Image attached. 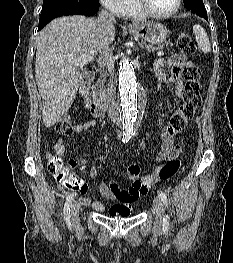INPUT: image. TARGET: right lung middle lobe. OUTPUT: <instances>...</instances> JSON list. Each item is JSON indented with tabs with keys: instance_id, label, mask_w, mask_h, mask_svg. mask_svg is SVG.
<instances>
[{
	"instance_id": "obj_1",
	"label": "right lung middle lobe",
	"mask_w": 233,
	"mask_h": 263,
	"mask_svg": "<svg viewBox=\"0 0 233 263\" xmlns=\"http://www.w3.org/2000/svg\"><path fill=\"white\" fill-rule=\"evenodd\" d=\"M83 4L100 6L98 0H44L39 23L49 22L62 15H72Z\"/></svg>"
}]
</instances>
